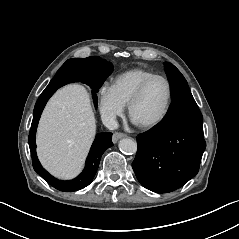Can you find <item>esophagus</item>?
<instances>
[{
	"mask_svg": "<svg viewBox=\"0 0 239 239\" xmlns=\"http://www.w3.org/2000/svg\"><path fill=\"white\" fill-rule=\"evenodd\" d=\"M125 136H126V134H124V133H122V132H115V133L113 134V138H112L113 143H116L120 138H123V137H125Z\"/></svg>",
	"mask_w": 239,
	"mask_h": 239,
	"instance_id": "esophagus-1",
	"label": "esophagus"
}]
</instances>
